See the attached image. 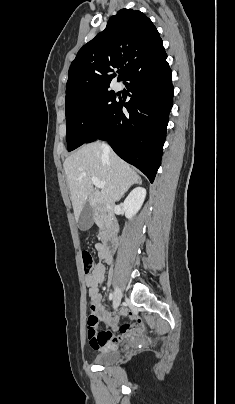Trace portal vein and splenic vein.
<instances>
[{
	"label": "portal vein and splenic vein",
	"instance_id": "portal-vein-and-splenic-vein-1",
	"mask_svg": "<svg viewBox=\"0 0 235 404\" xmlns=\"http://www.w3.org/2000/svg\"><path fill=\"white\" fill-rule=\"evenodd\" d=\"M91 180L93 184L98 188H103L105 186V182L100 181L97 177H92Z\"/></svg>",
	"mask_w": 235,
	"mask_h": 404
}]
</instances>
